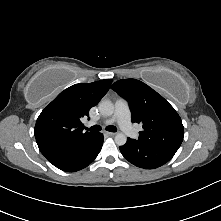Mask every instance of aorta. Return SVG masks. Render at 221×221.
Returning <instances> with one entry per match:
<instances>
[{"mask_svg":"<svg viewBox=\"0 0 221 221\" xmlns=\"http://www.w3.org/2000/svg\"><path fill=\"white\" fill-rule=\"evenodd\" d=\"M99 111L105 116H110L114 112V104L109 100H103L99 104ZM127 137L123 133H117L115 136V143L118 146H122L126 143Z\"/></svg>","mask_w":221,"mask_h":221,"instance_id":"762f6f07","label":"aorta"}]
</instances>
